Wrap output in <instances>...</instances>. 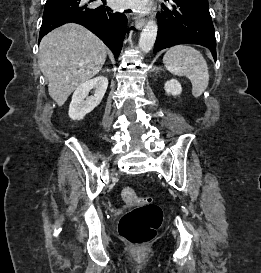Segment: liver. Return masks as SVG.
I'll return each instance as SVG.
<instances>
[{"instance_id":"obj_1","label":"liver","mask_w":261,"mask_h":273,"mask_svg":"<svg viewBox=\"0 0 261 273\" xmlns=\"http://www.w3.org/2000/svg\"><path fill=\"white\" fill-rule=\"evenodd\" d=\"M106 45L77 24L48 33L39 45V65L48 80L50 97L62 106L82 83L99 73L107 57Z\"/></svg>"}]
</instances>
